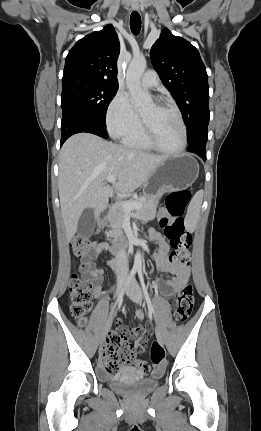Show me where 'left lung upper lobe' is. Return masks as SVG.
Masks as SVG:
<instances>
[{"mask_svg":"<svg viewBox=\"0 0 261 431\" xmlns=\"http://www.w3.org/2000/svg\"><path fill=\"white\" fill-rule=\"evenodd\" d=\"M150 57L182 112L189 145L207 140L210 117L208 76L198 50L164 28L151 47Z\"/></svg>","mask_w":261,"mask_h":431,"instance_id":"1","label":"left lung upper lobe"}]
</instances>
